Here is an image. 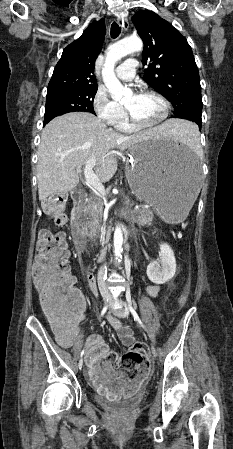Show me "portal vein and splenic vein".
I'll return each instance as SVG.
<instances>
[{"label": "portal vein and splenic vein", "instance_id": "18ae733b", "mask_svg": "<svg viewBox=\"0 0 233 449\" xmlns=\"http://www.w3.org/2000/svg\"><path fill=\"white\" fill-rule=\"evenodd\" d=\"M96 163H97L96 158H91L86 162L85 167H84L85 180L89 185L94 187L96 189V191L98 192L99 196L104 201H106V192H105L104 186L93 171V167L96 165Z\"/></svg>", "mask_w": 233, "mask_h": 449}]
</instances>
